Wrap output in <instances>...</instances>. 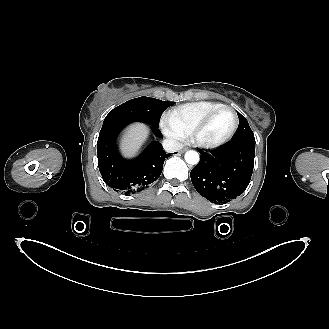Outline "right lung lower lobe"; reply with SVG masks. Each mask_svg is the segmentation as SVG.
<instances>
[{"instance_id":"right-lung-lower-lobe-1","label":"right lung lower lobe","mask_w":329,"mask_h":329,"mask_svg":"<svg viewBox=\"0 0 329 329\" xmlns=\"http://www.w3.org/2000/svg\"><path fill=\"white\" fill-rule=\"evenodd\" d=\"M127 124H103L97 141L98 167L104 182L125 195L141 192L156 181L163 170L165 158L169 156L158 141H153L136 159L122 158L117 151L116 139ZM154 133L162 137L158 127H154Z\"/></svg>"}]
</instances>
